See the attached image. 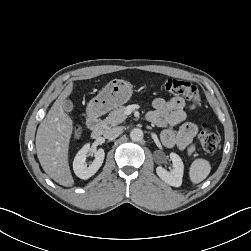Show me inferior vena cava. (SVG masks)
<instances>
[{"instance_id": "obj_1", "label": "inferior vena cava", "mask_w": 251, "mask_h": 251, "mask_svg": "<svg viewBox=\"0 0 251 251\" xmlns=\"http://www.w3.org/2000/svg\"><path fill=\"white\" fill-rule=\"evenodd\" d=\"M122 130H123L122 127L110 128V129L105 131L104 137L107 138V139L115 137V136L119 135L122 132Z\"/></svg>"}]
</instances>
